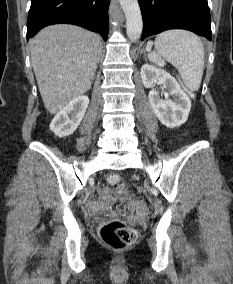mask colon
Listing matches in <instances>:
<instances>
[{"label": "colon", "mask_w": 233, "mask_h": 284, "mask_svg": "<svg viewBox=\"0 0 233 284\" xmlns=\"http://www.w3.org/2000/svg\"><path fill=\"white\" fill-rule=\"evenodd\" d=\"M148 57L157 66H164L166 63L165 59L155 51L149 52ZM185 91L190 97H193L194 94L191 90L185 88ZM106 180L109 184L116 187V193L120 199H128L127 189L122 184L119 175L110 174ZM129 208L138 215L145 216L147 214V206L141 200H130ZM99 235L103 242L115 249H124L134 244L137 240V231L132 226L119 220L102 223L99 226Z\"/></svg>", "instance_id": "colon-1"}]
</instances>
